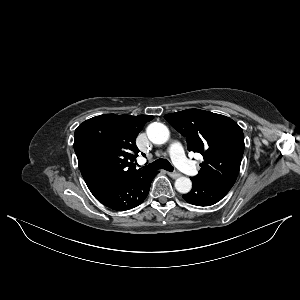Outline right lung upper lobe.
Listing matches in <instances>:
<instances>
[{
	"mask_svg": "<svg viewBox=\"0 0 300 300\" xmlns=\"http://www.w3.org/2000/svg\"><path fill=\"white\" fill-rule=\"evenodd\" d=\"M152 119L148 115L106 114L88 119L76 128L74 150L91 192L150 172L137 170L132 162L139 152L135 139Z\"/></svg>",
	"mask_w": 300,
	"mask_h": 300,
	"instance_id": "cb5924a9",
	"label": "right lung upper lobe"
}]
</instances>
